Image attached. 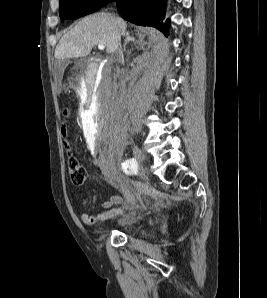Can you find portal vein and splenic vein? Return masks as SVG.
Segmentation results:
<instances>
[{
	"label": "portal vein and splenic vein",
	"mask_w": 267,
	"mask_h": 298,
	"mask_svg": "<svg viewBox=\"0 0 267 298\" xmlns=\"http://www.w3.org/2000/svg\"><path fill=\"white\" fill-rule=\"evenodd\" d=\"M98 49H99V50H104V49H105V46H104L103 44H99V45H98Z\"/></svg>",
	"instance_id": "18ae733b"
}]
</instances>
